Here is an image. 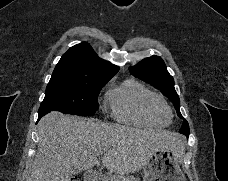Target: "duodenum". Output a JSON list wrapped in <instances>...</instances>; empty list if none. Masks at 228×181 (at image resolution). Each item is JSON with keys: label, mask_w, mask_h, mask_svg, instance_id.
Returning a JSON list of instances; mask_svg holds the SVG:
<instances>
[{"label": "duodenum", "mask_w": 228, "mask_h": 181, "mask_svg": "<svg viewBox=\"0 0 228 181\" xmlns=\"http://www.w3.org/2000/svg\"><path fill=\"white\" fill-rule=\"evenodd\" d=\"M86 181H99V174L96 172H85Z\"/></svg>", "instance_id": "410a0bca"}]
</instances>
